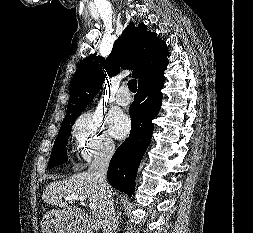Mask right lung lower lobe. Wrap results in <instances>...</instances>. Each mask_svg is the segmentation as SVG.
Returning <instances> with one entry per match:
<instances>
[{"instance_id": "98d812e1", "label": "right lung lower lobe", "mask_w": 253, "mask_h": 233, "mask_svg": "<svg viewBox=\"0 0 253 233\" xmlns=\"http://www.w3.org/2000/svg\"><path fill=\"white\" fill-rule=\"evenodd\" d=\"M164 80L163 70L138 85V92L129 109L132 121L129 138L119 146L109 164V183L129 196L134 193L138 166L151 141L152 120L161 106Z\"/></svg>"}]
</instances>
